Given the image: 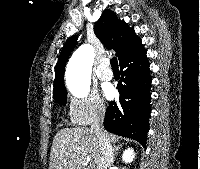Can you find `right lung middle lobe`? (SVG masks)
I'll use <instances>...</instances> for the list:
<instances>
[{
    "mask_svg": "<svg viewBox=\"0 0 200 169\" xmlns=\"http://www.w3.org/2000/svg\"><path fill=\"white\" fill-rule=\"evenodd\" d=\"M54 99L62 105L66 104V97H67V92H60V93H54L53 94Z\"/></svg>",
    "mask_w": 200,
    "mask_h": 169,
    "instance_id": "1",
    "label": "right lung middle lobe"
}]
</instances>
